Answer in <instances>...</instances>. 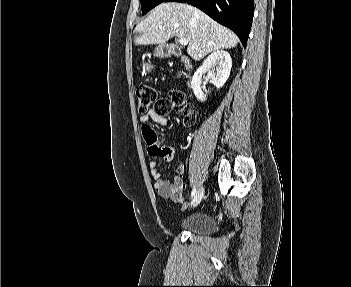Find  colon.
Listing matches in <instances>:
<instances>
[{
    "label": "colon",
    "mask_w": 351,
    "mask_h": 287,
    "mask_svg": "<svg viewBox=\"0 0 351 287\" xmlns=\"http://www.w3.org/2000/svg\"><path fill=\"white\" fill-rule=\"evenodd\" d=\"M135 95L140 112H146L153 105L158 115H166L174 107L182 114L184 125H192L195 121V110L191 108L186 96L180 91L172 90L168 98L157 100L156 89L153 86L141 84L136 88Z\"/></svg>",
    "instance_id": "obj_1"
}]
</instances>
